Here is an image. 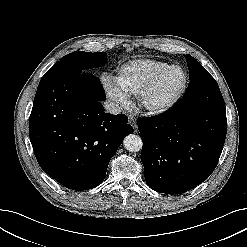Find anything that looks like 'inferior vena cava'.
<instances>
[{
    "label": "inferior vena cava",
    "instance_id": "602c4592",
    "mask_svg": "<svg viewBox=\"0 0 247 247\" xmlns=\"http://www.w3.org/2000/svg\"><path fill=\"white\" fill-rule=\"evenodd\" d=\"M104 109L107 113L110 114H119L122 111V108L117 103L111 100H106L104 102Z\"/></svg>",
    "mask_w": 247,
    "mask_h": 247
}]
</instances>
